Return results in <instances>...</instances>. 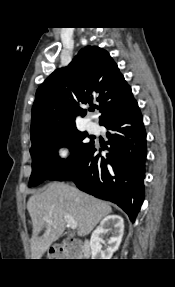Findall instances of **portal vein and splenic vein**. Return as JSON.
Returning a JSON list of instances; mask_svg holds the SVG:
<instances>
[{
    "mask_svg": "<svg viewBox=\"0 0 175 287\" xmlns=\"http://www.w3.org/2000/svg\"><path fill=\"white\" fill-rule=\"evenodd\" d=\"M65 221L67 222V225L72 228L76 229L77 228V222L69 215L64 216ZM46 222H49L50 220L48 218L45 219Z\"/></svg>",
    "mask_w": 175,
    "mask_h": 287,
    "instance_id": "portal-vein-and-splenic-vein-1",
    "label": "portal vein and splenic vein"
}]
</instances>
